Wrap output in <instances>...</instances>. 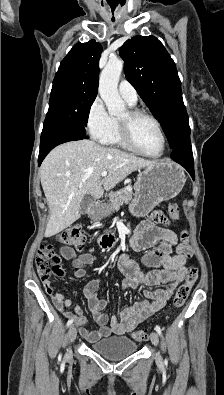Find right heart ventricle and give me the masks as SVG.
Listing matches in <instances>:
<instances>
[{
    "instance_id": "right-heart-ventricle-1",
    "label": "right heart ventricle",
    "mask_w": 224,
    "mask_h": 395,
    "mask_svg": "<svg viewBox=\"0 0 224 395\" xmlns=\"http://www.w3.org/2000/svg\"><path fill=\"white\" fill-rule=\"evenodd\" d=\"M100 141L108 146H115L123 149H128L127 145L123 142L121 138L119 120L117 118H113V126L111 131Z\"/></svg>"
}]
</instances>
